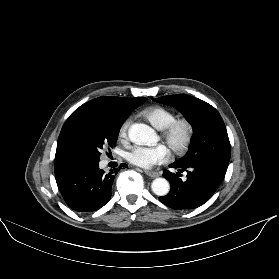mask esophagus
Returning <instances> with one entry per match:
<instances>
[{
    "mask_svg": "<svg viewBox=\"0 0 279 279\" xmlns=\"http://www.w3.org/2000/svg\"><path fill=\"white\" fill-rule=\"evenodd\" d=\"M145 174L148 175L149 177L155 178L159 176V173L156 171H150V170H146Z\"/></svg>",
    "mask_w": 279,
    "mask_h": 279,
    "instance_id": "esophagus-1",
    "label": "esophagus"
}]
</instances>
